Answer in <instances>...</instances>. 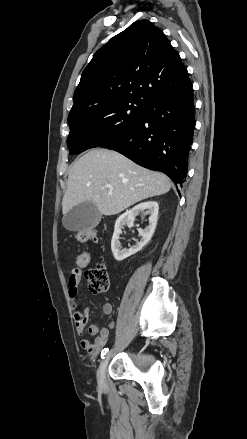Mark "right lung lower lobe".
Returning <instances> with one entry per match:
<instances>
[{
	"mask_svg": "<svg viewBox=\"0 0 247 439\" xmlns=\"http://www.w3.org/2000/svg\"><path fill=\"white\" fill-rule=\"evenodd\" d=\"M194 115L191 85L147 104L140 122L106 148L145 168L163 172L177 186H182L193 141Z\"/></svg>",
	"mask_w": 247,
	"mask_h": 439,
	"instance_id": "right-lung-lower-lobe-1",
	"label": "right lung lower lobe"
}]
</instances>
